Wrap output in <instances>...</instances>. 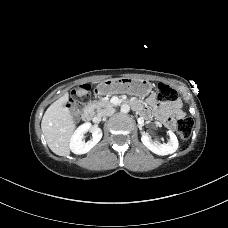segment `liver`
I'll use <instances>...</instances> for the list:
<instances>
[{"label": "liver", "instance_id": "obj_1", "mask_svg": "<svg viewBox=\"0 0 228 228\" xmlns=\"http://www.w3.org/2000/svg\"><path fill=\"white\" fill-rule=\"evenodd\" d=\"M68 93L56 100L44 113L41 129L49 148L59 156L70 154L69 142L75 129L70 110L66 107Z\"/></svg>", "mask_w": 228, "mask_h": 228}]
</instances>
